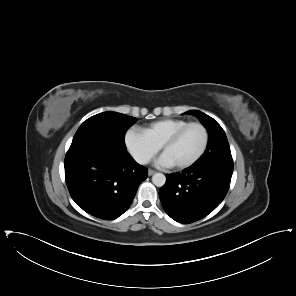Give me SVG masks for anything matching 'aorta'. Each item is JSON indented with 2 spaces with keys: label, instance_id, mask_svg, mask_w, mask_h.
<instances>
[{
  "label": "aorta",
  "instance_id": "aorta-1",
  "mask_svg": "<svg viewBox=\"0 0 296 296\" xmlns=\"http://www.w3.org/2000/svg\"><path fill=\"white\" fill-rule=\"evenodd\" d=\"M152 182L157 187H162L166 182V177L162 173H155L152 176Z\"/></svg>",
  "mask_w": 296,
  "mask_h": 296
}]
</instances>
